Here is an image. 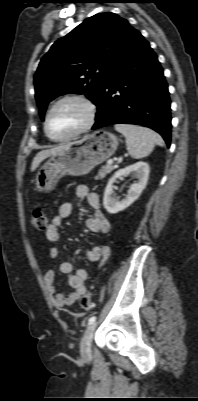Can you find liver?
<instances>
[{"label": "liver", "mask_w": 198, "mask_h": 401, "mask_svg": "<svg viewBox=\"0 0 198 401\" xmlns=\"http://www.w3.org/2000/svg\"><path fill=\"white\" fill-rule=\"evenodd\" d=\"M63 147L64 145H60L51 149H46L38 152L32 161L31 171H34L44 159L58 153Z\"/></svg>", "instance_id": "6515ba94"}]
</instances>
